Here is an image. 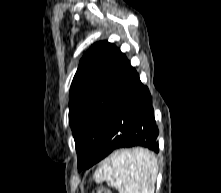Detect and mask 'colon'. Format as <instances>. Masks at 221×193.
Returning <instances> with one entry per match:
<instances>
[{
    "label": "colon",
    "mask_w": 221,
    "mask_h": 193,
    "mask_svg": "<svg viewBox=\"0 0 221 193\" xmlns=\"http://www.w3.org/2000/svg\"><path fill=\"white\" fill-rule=\"evenodd\" d=\"M107 191L108 190H106V189L99 188V189L94 190L92 193H107Z\"/></svg>",
    "instance_id": "obj_1"
}]
</instances>
